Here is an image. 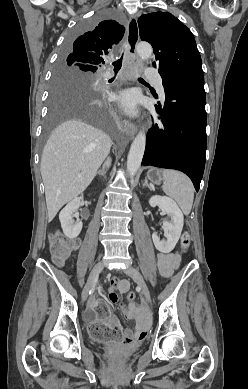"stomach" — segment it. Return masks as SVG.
Returning a JSON list of instances; mask_svg holds the SVG:
<instances>
[{"mask_svg":"<svg viewBox=\"0 0 248 389\" xmlns=\"http://www.w3.org/2000/svg\"><path fill=\"white\" fill-rule=\"evenodd\" d=\"M146 178H148L153 184H160L163 181L162 170L150 168L147 172Z\"/></svg>","mask_w":248,"mask_h":389,"instance_id":"obj_1","label":"stomach"}]
</instances>
